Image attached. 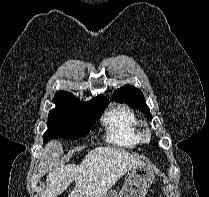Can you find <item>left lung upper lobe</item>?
<instances>
[{
  "instance_id": "obj_1",
  "label": "left lung upper lobe",
  "mask_w": 209,
  "mask_h": 197,
  "mask_svg": "<svg viewBox=\"0 0 209 197\" xmlns=\"http://www.w3.org/2000/svg\"><path fill=\"white\" fill-rule=\"evenodd\" d=\"M113 97L119 98L122 102L127 103L133 108L141 110L142 112L146 113L150 118H152L150 114V109L145 103L143 93L136 87L131 85H125L120 89H117L114 92Z\"/></svg>"
}]
</instances>
